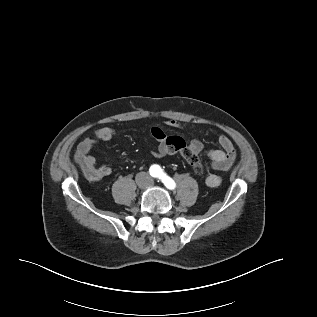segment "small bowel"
I'll return each instance as SVG.
<instances>
[{"mask_svg":"<svg viewBox=\"0 0 317 317\" xmlns=\"http://www.w3.org/2000/svg\"><path fill=\"white\" fill-rule=\"evenodd\" d=\"M165 125L171 128H184V124L175 119H168ZM116 131L111 127H100L92 135L86 137L78 146L76 159L81 165L89 166L94 175L93 180H101L112 173V169L107 165L97 166L95 157L91 154L93 148L99 142H107L115 138ZM151 135L159 141L156 150L157 157H163L177 153L176 148H187L195 155H199L203 150V143L199 138H193L189 143L180 136L167 137L161 127L155 126L151 129ZM220 149H213L208 152L211 161V167L214 171H228L236 157L235 147L232 141L225 135L218 139ZM205 184L208 187L215 188L221 184V177L215 172H209L205 178Z\"/></svg>","mask_w":317,"mask_h":317,"instance_id":"1","label":"small bowel"}]
</instances>
